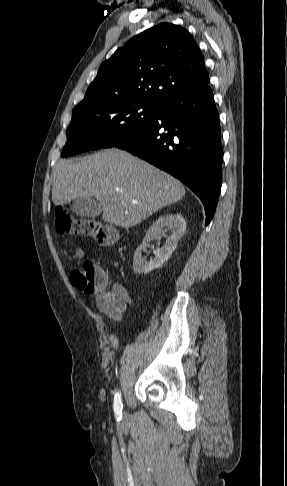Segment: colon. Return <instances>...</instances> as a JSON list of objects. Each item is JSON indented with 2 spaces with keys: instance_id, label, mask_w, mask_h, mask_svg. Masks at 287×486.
Instances as JSON below:
<instances>
[{
  "instance_id": "1",
  "label": "colon",
  "mask_w": 287,
  "mask_h": 486,
  "mask_svg": "<svg viewBox=\"0 0 287 486\" xmlns=\"http://www.w3.org/2000/svg\"><path fill=\"white\" fill-rule=\"evenodd\" d=\"M55 226L60 234L87 236L103 246L112 245L117 241V233L111 226L97 219L73 217L62 209L56 211ZM71 280L76 288L88 295L111 299L110 290L107 291V274L91 261L85 262L82 268L75 270Z\"/></svg>"
}]
</instances>
